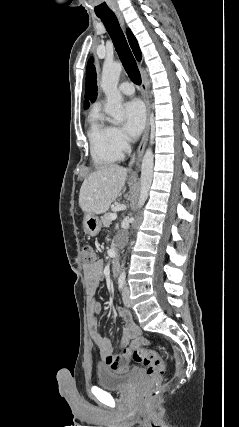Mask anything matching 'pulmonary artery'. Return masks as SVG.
I'll return each mask as SVG.
<instances>
[{"instance_id": "pulmonary-artery-1", "label": "pulmonary artery", "mask_w": 239, "mask_h": 427, "mask_svg": "<svg viewBox=\"0 0 239 427\" xmlns=\"http://www.w3.org/2000/svg\"><path fill=\"white\" fill-rule=\"evenodd\" d=\"M119 91L124 95H132L134 93V87L129 82H123L119 85Z\"/></svg>"}]
</instances>
